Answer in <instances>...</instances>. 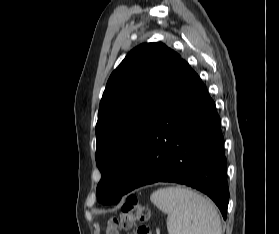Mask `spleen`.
I'll return each instance as SVG.
<instances>
[{
    "instance_id": "obj_1",
    "label": "spleen",
    "mask_w": 279,
    "mask_h": 234,
    "mask_svg": "<svg viewBox=\"0 0 279 234\" xmlns=\"http://www.w3.org/2000/svg\"><path fill=\"white\" fill-rule=\"evenodd\" d=\"M150 199L158 209L167 213L169 234H222L215 205L189 188H161L153 192Z\"/></svg>"
}]
</instances>
